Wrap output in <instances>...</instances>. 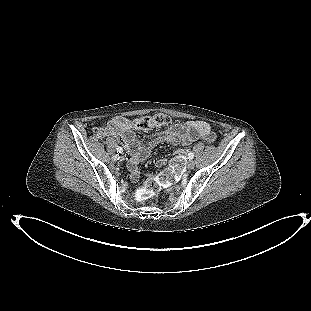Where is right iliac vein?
I'll list each match as a JSON object with an SVG mask.
<instances>
[{
	"instance_id": "1",
	"label": "right iliac vein",
	"mask_w": 311,
	"mask_h": 311,
	"mask_svg": "<svg viewBox=\"0 0 311 311\" xmlns=\"http://www.w3.org/2000/svg\"><path fill=\"white\" fill-rule=\"evenodd\" d=\"M114 158V160H117V158L116 157H113Z\"/></svg>"
}]
</instances>
